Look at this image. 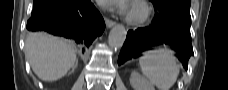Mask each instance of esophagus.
<instances>
[{
  "label": "esophagus",
  "mask_w": 228,
  "mask_h": 90,
  "mask_svg": "<svg viewBox=\"0 0 228 90\" xmlns=\"http://www.w3.org/2000/svg\"><path fill=\"white\" fill-rule=\"evenodd\" d=\"M105 23H106L107 28H111V27H113L116 24L115 21H113V20H111L109 18L105 19Z\"/></svg>",
  "instance_id": "esophagus-1"
}]
</instances>
